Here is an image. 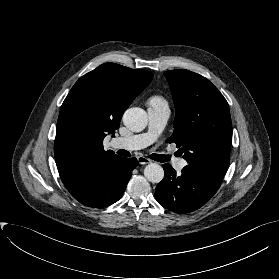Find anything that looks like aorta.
Returning a JSON list of instances; mask_svg holds the SVG:
<instances>
[{"label": "aorta", "mask_w": 279, "mask_h": 279, "mask_svg": "<svg viewBox=\"0 0 279 279\" xmlns=\"http://www.w3.org/2000/svg\"><path fill=\"white\" fill-rule=\"evenodd\" d=\"M147 113L138 107L129 108L123 115L124 125L133 132H141L147 126ZM144 176L151 183H159L164 177L162 166L150 163L144 169Z\"/></svg>", "instance_id": "1"}]
</instances>
